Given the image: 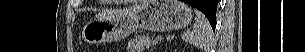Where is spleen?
I'll use <instances>...</instances> for the list:
<instances>
[{
	"label": "spleen",
	"mask_w": 305,
	"mask_h": 52,
	"mask_svg": "<svg viewBox=\"0 0 305 52\" xmlns=\"http://www.w3.org/2000/svg\"><path fill=\"white\" fill-rule=\"evenodd\" d=\"M195 13L197 21L191 31L182 34V39L207 52L212 44L213 31L205 15L199 10H195Z\"/></svg>",
	"instance_id": "3e777b00"
}]
</instances>
